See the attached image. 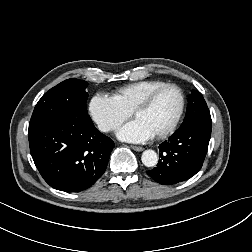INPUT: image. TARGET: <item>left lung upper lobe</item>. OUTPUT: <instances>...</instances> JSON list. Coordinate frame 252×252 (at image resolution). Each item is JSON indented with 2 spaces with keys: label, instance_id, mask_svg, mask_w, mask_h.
<instances>
[{
  "label": "left lung upper lobe",
  "instance_id": "left-lung-upper-lobe-1",
  "mask_svg": "<svg viewBox=\"0 0 252 252\" xmlns=\"http://www.w3.org/2000/svg\"><path fill=\"white\" fill-rule=\"evenodd\" d=\"M197 122L211 123V116L202 94L193 90L189 96L186 115L180 128Z\"/></svg>",
  "mask_w": 252,
  "mask_h": 252
}]
</instances>
